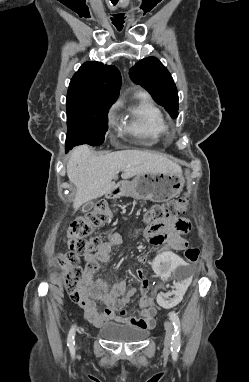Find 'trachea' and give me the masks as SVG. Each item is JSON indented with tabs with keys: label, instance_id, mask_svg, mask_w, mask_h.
I'll list each match as a JSON object with an SVG mask.
<instances>
[{
	"label": "trachea",
	"instance_id": "trachea-1",
	"mask_svg": "<svg viewBox=\"0 0 249 382\" xmlns=\"http://www.w3.org/2000/svg\"><path fill=\"white\" fill-rule=\"evenodd\" d=\"M117 1H118V0H115L114 2L112 1L113 5H116Z\"/></svg>",
	"mask_w": 249,
	"mask_h": 382
}]
</instances>
